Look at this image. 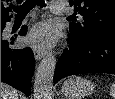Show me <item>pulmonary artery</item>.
I'll return each instance as SVG.
<instances>
[{
	"mask_svg": "<svg viewBox=\"0 0 115 99\" xmlns=\"http://www.w3.org/2000/svg\"><path fill=\"white\" fill-rule=\"evenodd\" d=\"M51 10L55 14H65L69 11L67 5L63 1H53Z\"/></svg>",
	"mask_w": 115,
	"mask_h": 99,
	"instance_id": "1",
	"label": "pulmonary artery"
}]
</instances>
